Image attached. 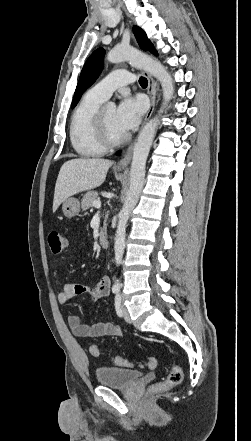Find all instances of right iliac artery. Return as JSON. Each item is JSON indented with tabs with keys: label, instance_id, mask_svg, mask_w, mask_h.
<instances>
[{
	"label": "right iliac artery",
	"instance_id": "obj_1",
	"mask_svg": "<svg viewBox=\"0 0 251 441\" xmlns=\"http://www.w3.org/2000/svg\"><path fill=\"white\" fill-rule=\"evenodd\" d=\"M119 289L118 288H114L113 289V293H118Z\"/></svg>",
	"mask_w": 251,
	"mask_h": 441
}]
</instances>
